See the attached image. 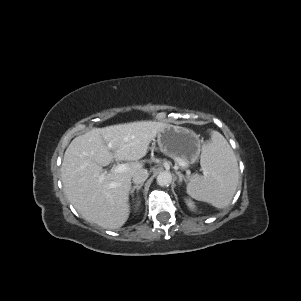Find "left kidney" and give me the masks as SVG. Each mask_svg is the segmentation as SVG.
<instances>
[{
	"mask_svg": "<svg viewBox=\"0 0 301 301\" xmlns=\"http://www.w3.org/2000/svg\"><path fill=\"white\" fill-rule=\"evenodd\" d=\"M187 205L191 208V209H193L195 206H194V203L192 202V201H190V200H187Z\"/></svg>",
	"mask_w": 301,
	"mask_h": 301,
	"instance_id": "obj_1",
	"label": "left kidney"
}]
</instances>
